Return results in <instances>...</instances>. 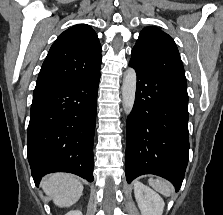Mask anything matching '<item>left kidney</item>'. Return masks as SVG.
Instances as JSON below:
<instances>
[{
  "label": "left kidney",
  "instance_id": "1",
  "mask_svg": "<svg viewBox=\"0 0 223 215\" xmlns=\"http://www.w3.org/2000/svg\"><path fill=\"white\" fill-rule=\"evenodd\" d=\"M134 193L142 215H162L165 203L159 193L141 181H135Z\"/></svg>",
  "mask_w": 223,
  "mask_h": 215
}]
</instances>
